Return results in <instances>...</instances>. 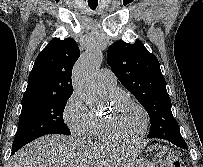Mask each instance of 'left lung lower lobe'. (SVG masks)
<instances>
[{"label": "left lung lower lobe", "instance_id": "0a47b994", "mask_svg": "<svg viewBox=\"0 0 203 167\" xmlns=\"http://www.w3.org/2000/svg\"><path fill=\"white\" fill-rule=\"evenodd\" d=\"M164 139L170 141L171 143H173L181 148L187 149V145L182 136H176L173 134L170 136H165Z\"/></svg>", "mask_w": 203, "mask_h": 167}]
</instances>
